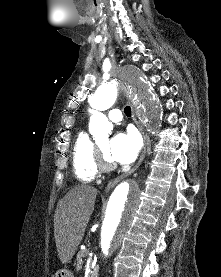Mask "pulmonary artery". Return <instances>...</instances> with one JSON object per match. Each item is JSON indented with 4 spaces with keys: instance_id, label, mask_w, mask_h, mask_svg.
I'll return each mask as SVG.
<instances>
[{
    "instance_id": "pulmonary-artery-1",
    "label": "pulmonary artery",
    "mask_w": 221,
    "mask_h": 277,
    "mask_svg": "<svg viewBox=\"0 0 221 277\" xmlns=\"http://www.w3.org/2000/svg\"><path fill=\"white\" fill-rule=\"evenodd\" d=\"M108 118L114 123H118L122 120V113L119 109H112L108 113Z\"/></svg>"
}]
</instances>
